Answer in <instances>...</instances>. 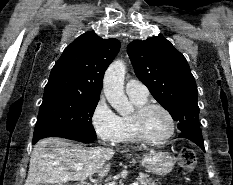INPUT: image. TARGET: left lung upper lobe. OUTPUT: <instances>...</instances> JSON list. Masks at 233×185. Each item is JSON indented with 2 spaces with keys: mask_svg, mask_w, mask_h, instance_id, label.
I'll list each match as a JSON object with an SVG mask.
<instances>
[{
  "mask_svg": "<svg viewBox=\"0 0 233 185\" xmlns=\"http://www.w3.org/2000/svg\"><path fill=\"white\" fill-rule=\"evenodd\" d=\"M127 52L137 77L178 121V129L199 128L198 90L185 57L159 36L135 40Z\"/></svg>",
  "mask_w": 233,
  "mask_h": 185,
  "instance_id": "left-lung-upper-lobe-1",
  "label": "left lung upper lobe"
}]
</instances>
